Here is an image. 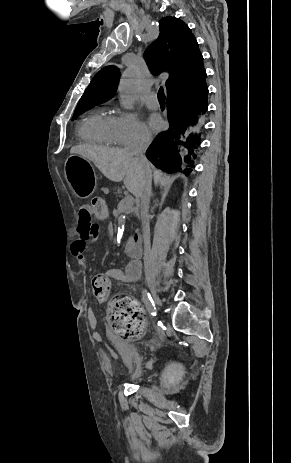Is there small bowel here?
Masks as SVG:
<instances>
[{
	"label": "small bowel",
	"mask_w": 291,
	"mask_h": 463,
	"mask_svg": "<svg viewBox=\"0 0 291 463\" xmlns=\"http://www.w3.org/2000/svg\"><path fill=\"white\" fill-rule=\"evenodd\" d=\"M95 213L94 208L88 205L81 206L78 213L77 236L71 243V252L78 261L86 265L85 251L88 245L98 237L99 227L92 221ZM110 233L114 232L113 228L109 229ZM141 273V263L139 260H132L125 269L111 268L105 272L106 276L117 281L135 282L139 279ZM92 331H97L95 320L90 321Z\"/></svg>",
	"instance_id": "1"
}]
</instances>
